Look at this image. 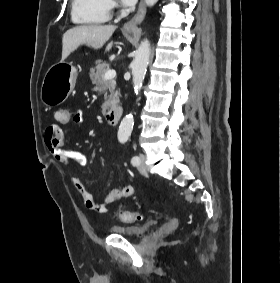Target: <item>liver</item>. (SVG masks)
<instances>
[{
	"instance_id": "liver-1",
	"label": "liver",
	"mask_w": 280,
	"mask_h": 283,
	"mask_svg": "<svg viewBox=\"0 0 280 283\" xmlns=\"http://www.w3.org/2000/svg\"><path fill=\"white\" fill-rule=\"evenodd\" d=\"M116 30L115 25H81L67 30L62 39L63 62L73 51L82 45L93 49H100L112 36ZM113 42L106 47V52L110 51Z\"/></svg>"
}]
</instances>
